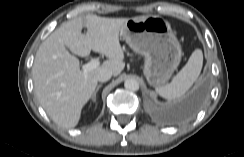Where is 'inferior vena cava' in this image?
<instances>
[{
    "label": "inferior vena cava",
    "instance_id": "602c4592",
    "mask_svg": "<svg viewBox=\"0 0 244 157\" xmlns=\"http://www.w3.org/2000/svg\"><path fill=\"white\" fill-rule=\"evenodd\" d=\"M112 77V71L108 69H102L98 75H97V80L100 82H106Z\"/></svg>",
    "mask_w": 244,
    "mask_h": 157
}]
</instances>
